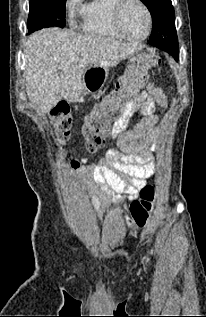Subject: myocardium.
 Returning a JSON list of instances; mask_svg holds the SVG:
<instances>
[{
	"label": "myocardium",
	"mask_w": 206,
	"mask_h": 317,
	"mask_svg": "<svg viewBox=\"0 0 206 317\" xmlns=\"http://www.w3.org/2000/svg\"><path fill=\"white\" fill-rule=\"evenodd\" d=\"M135 2L138 3L144 10L146 17H147V30L146 33L143 36L140 37H133L128 35L123 27H122V15L123 11L126 8V6L131 3ZM111 20L112 25L115 29V31L123 38L131 41H143L146 38L149 37L152 26H153V19H152V13L147 6V4L143 0H115L114 3L111 6Z\"/></svg>",
	"instance_id": "myocardium-1"
}]
</instances>
